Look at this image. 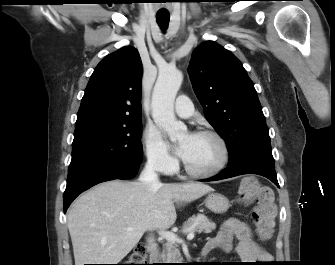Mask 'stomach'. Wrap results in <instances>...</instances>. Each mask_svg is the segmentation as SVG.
Here are the masks:
<instances>
[{
    "label": "stomach",
    "mask_w": 335,
    "mask_h": 265,
    "mask_svg": "<svg viewBox=\"0 0 335 265\" xmlns=\"http://www.w3.org/2000/svg\"><path fill=\"white\" fill-rule=\"evenodd\" d=\"M205 205L210 211L222 214L228 210L230 203L226 196L212 192L207 195Z\"/></svg>",
    "instance_id": "obj_1"
}]
</instances>
